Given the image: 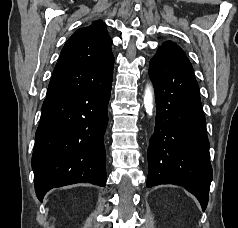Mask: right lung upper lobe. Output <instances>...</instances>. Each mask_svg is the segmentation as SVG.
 Masks as SVG:
<instances>
[{
  "mask_svg": "<svg viewBox=\"0 0 238 228\" xmlns=\"http://www.w3.org/2000/svg\"><path fill=\"white\" fill-rule=\"evenodd\" d=\"M111 44L106 25L101 20L78 29L61 51L46 98L100 83L113 71L115 59Z\"/></svg>",
  "mask_w": 238,
  "mask_h": 228,
  "instance_id": "cb5924a9",
  "label": "right lung upper lobe"
}]
</instances>
